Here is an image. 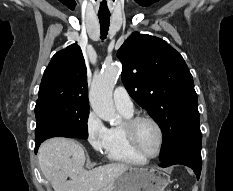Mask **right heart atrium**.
<instances>
[{
    "instance_id": "1",
    "label": "right heart atrium",
    "mask_w": 233,
    "mask_h": 191,
    "mask_svg": "<svg viewBox=\"0 0 233 191\" xmlns=\"http://www.w3.org/2000/svg\"><path fill=\"white\" fill-rule=\"evenodd\" d=\"M86 136L89 144L97 152L106 150L109 140V129L103 121L93 112L86 120Z\"/></svg>"
}]
</instances>
